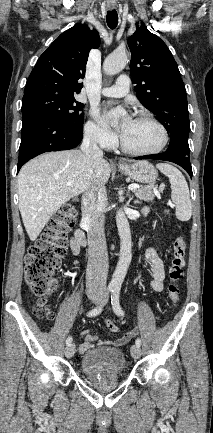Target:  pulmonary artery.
<instances>
[{"instance_id":"obj_1","label":"pulmonary artery","mask_w":213,"mask_h":433,"mask_svg":"<svg viewBox=\"0 0 213 433\" xmlns=\"http://www.w3.org/2000/svg\"><path fill=\"white\" fill-rule=\"evenodd\" d=\"M129 92V78L126 75L118 77L116 83L110 87H104L101 93L108 97H123Z\"/></svg>"}]
</instances>
